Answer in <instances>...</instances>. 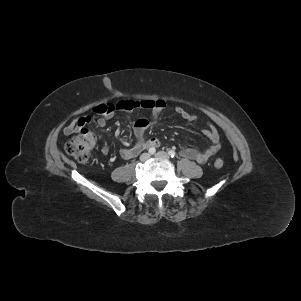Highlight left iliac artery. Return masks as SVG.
Wrapping results in <instances>:
<instances>
[{"instance_id": "1", "label": "left iliac artery", "mask_w": 301, "mask_h": 301, "mask_svg": "<svg viewBox=\"0 0 301 301\" xmlns=\"http://www.w3.org/2000/svg\"><path fill=\"white\" fill-rule=\"evenodd\" d=\"M170 157L175 158L176 157V152L173 150H170L169 152Z\"/></svg>"}]
</instances>
